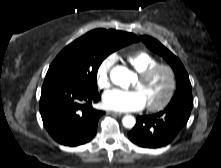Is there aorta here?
Segmentation results:
<instances>
[{
  "label": "aorta",
  "instance_id": "obj_1",
  "mask_svg": "<svg viewBox=\"0 0 221 168\" xmlns=\"http://www.w3.org/2000/svg\"><path fill=\"white\" fill-rule=\"evenodd\" d=\"M130 74L128 68L124 66H117L111 71V80L114 84L118 86H126L129 84L130 81ZM136 123L134 116L126 115L122 119V124L126 128H133Z\"/></svg>",
  "mask_w": 221,
  "mask_h": 168
}]
</instances>
